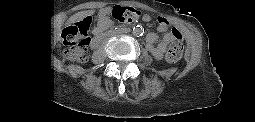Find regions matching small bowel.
Instances as JSON below:
<instances>
[{
  "instance_id": "1",
  "label": "small bowel",
  "mask_w": 255,
  "mask_h": 122,
  "mask_svg": "<svg viewBox=\"0 0 255 122\" xmlns=\"http://www.w3.org/2000/svg\"><path fill=\"white\" fill-rule=\"evenodd\" d=\"M145 21H149V18L146 16L144 18ZM168 28V22L160 18L159 26L156 31L150 32L146 36V49L150 51L153 56L157 59H161L168 47L169 44H172L177 38L174 36L172 30L171 32L165 34L161 37V33L166 31ZM179 32V31H178ZM180 34V33H179ZM181 36V34H180ZM182 39V36H181ZM158 41V44L154 46V43Z\"/></svg>"
}]
</instances>
